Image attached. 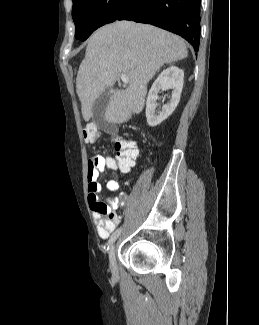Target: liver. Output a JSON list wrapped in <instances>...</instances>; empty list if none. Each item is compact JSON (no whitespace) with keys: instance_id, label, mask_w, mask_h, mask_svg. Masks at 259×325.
<instances>
[{"instance_id":"liver-1","label":"liver","mask_w":259,"mask_h":325,"mask_svg":"<svg viewBox=\"0 0 259 325\" xmlns=\"http://www.w3.org/2000/svg\"><path fill=\"white\" fill-rule=\"evenodd\" d=\"M184 41L153 25L116 21L97 29L88 41L76 78V91L86 122L94 102L108 89L110 102L104 119L121 124L143 110L147 84L166 63L187 57ZM128 76L125 89H114L120 75Z\"/></svg>"}]
</instances>
